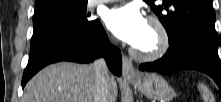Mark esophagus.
Returning <instances> with one entry per match:
<instances>
[{
    "instance_id": "1",
    "label": "esophagus",
    "mask_w": 221,
    "mask_h": 102,
    "mask_svg": "<svg viewBox=\"0 0 221 102\" xmlns=\"http://www.w3.org/2000/svg\"><path fill=\"white\" fill-rule=\"evenodd\" d=\"M122 74H123V77L128 80L135 79L138 77V72L133 66L132 61L126 56H123Z\"/></svg>"
}]
</instances>
